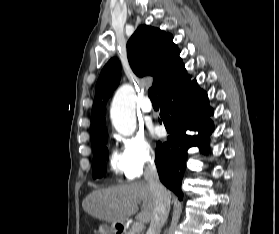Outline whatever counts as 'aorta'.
I'll list each match as a JSON object with an SVG mask.
<instances>
[{
	"label": "aorta",
	"mask_w": 279,
	"mask_h": 234,
	"mask_svg": "<svg viewBox=\"0 0 279 234\" xmlns=\"http://www.w3.org/2000/svg\"><path fill=\"white\" fill-rule=\"evenodd\" d=\"M112 125L124 136H130L136 129L135 92L125 84L115 93L110 110Z\"/></svg>",
	"instance_id": "obj_1"
}]
</instances>
